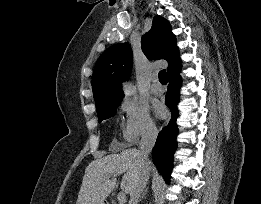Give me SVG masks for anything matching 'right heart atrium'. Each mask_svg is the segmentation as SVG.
Here are the masks:
<instances>
[{"mask_svg": "<svg viewBox=\"0 0 261 204\" xmlns=\"http://www.w3.org/2000/svg\"><path fill=\"white\" fill-rule=\"evenodd\" d=\"M120 111L124 115L122 138L128 146L156 135V124L144 102L132 97L125 98L120 104Z\"/></svg>", "mask_w": 261, "mask_h": 204, "instance_id": "obj_1", "label": "right heart atrium"}]
</instances>
